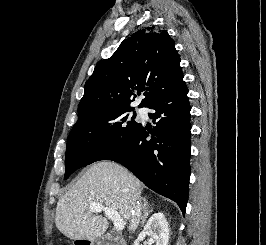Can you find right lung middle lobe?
Segmentation results:
<instances>
[{"instance_id": "obj_1", "label": "right lung middle lobe", "mask_w": 266, "mask_h": 245, "mask_svg": "<svg viewBox=\"0 0 266 245\" xmlns=\"http://www.w3.org/2000/svg\"><path fill=\"white\" fill-rule=\"evenodd\" d=\"M134 108H112L94 112L79 119L73 126L65 154L67 179L75 170L123 150L140 127L128 112Z\"/></svg>"}]
</instances>
